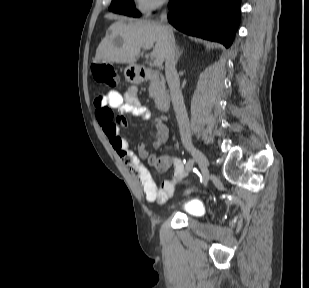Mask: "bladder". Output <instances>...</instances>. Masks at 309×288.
Instances as JSON below:
<instances>
[{
	"label": "bladder",
	"instance_id": "31cf9c89",
	"mask_svg": "<svg viewBox=\"0 0 309 288\" xmlns=\"http://www.w3.org/2000/svg\"><path fill=\"white\" fill-rule=\"evenodd\" d=\"M183 209L188 213L199 215L204 211V204L199 199H190L184 203Z\"/></svg>",
	"mask_w": 309,
	"mask_h": 288
}]
</instances>
